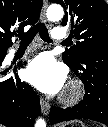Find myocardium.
<instances>
[{"label": "myocardium", "mask_w": 108, "mask_h": 127, "mask_svg": "<svg viewBox=\"0 0 108 127\" xmlns=\"http://www.w3.org/2000/svg\"><path fill=\"white\" fill-rule=\"evenodd\" d=\"M83 97V86L77 80H71L61 95V101L65 105H74Z\"/></svg>", "instance_id": "myocardium-1"}]
</instances>
